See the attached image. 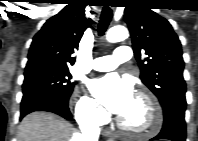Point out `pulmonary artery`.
I'll use <instances>...</instances> for the list:
<instances>
[{"label": "pulmonary artery", "mask_w": 198, "mask_h": 141, "mask_svg": "<svg viewBox=\"0 0 198 141\" xmlns=\"http://www.w3.org/2000/svg\"><path fill=\"white\" fill-rule=\"evenodd\" d=\"M131 57V49L128 46H118L112 55L94 58L91 68L97 71H110L118 64L129 61Z\"/></svg>", "instance_id": "obj_1"}]
</instances>
